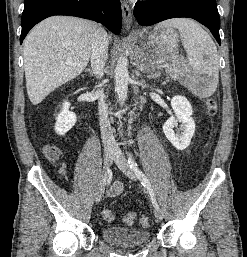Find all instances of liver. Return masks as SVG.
<instances>
[{
	"label": "liver",
	"instance_id": "obj_1",
	"mask_svg": "<svg viewBox=\"0 0 247 257\" xmlns=\"http://www.w3.org/2000/svg\"><path fill=\"white\" fill-rule=\"evenodd\" d=\"M96 29L92 21L52 16L30 31L23 43V56L27 93L33 105L83 72Z\"/></svg>",
	"mask_w": 247,
	"mask_h": 257
}]
</instances>
